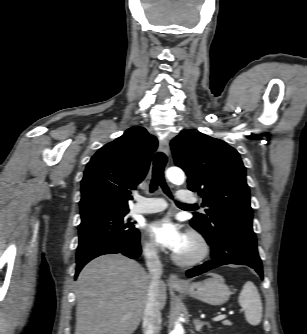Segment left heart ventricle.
Masks as SVG:
<instances>
[{"instance_id": "1", "label": "left heart ventricle", "mask_w": 307, "mask_h": 334, "mask_svg": "<svg viewBox=\"0 0 307 334\" xmlns=\"http://www.w3.org/2000/svg\"><path fill=\"white\" fill-rule=\"evenodd\" d=\"M196 251V244L193 240L187 238L183 248L178 252L181 255L189 256Z\"/></svg>"}]
</instances>
